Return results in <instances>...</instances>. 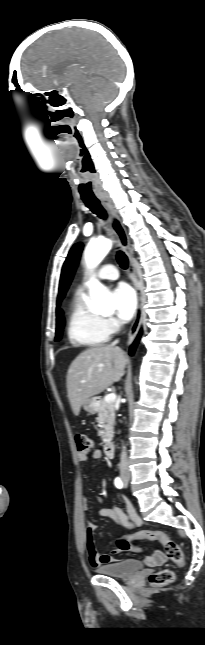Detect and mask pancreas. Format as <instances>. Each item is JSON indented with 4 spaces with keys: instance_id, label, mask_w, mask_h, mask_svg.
Here are the masks:
<instances>
[{
    "instance_id": "1",
    "label": "pancreas",
    "mask_w": 205,
    "mask_h": 645,
    "mask_svg": "<svg viewBox=\"0 0 205 645\" xmlns=\"http://www.w3.org/2000/svg\"><path fill=\"white\" fill-rule=\"evenodd\" d=\"M97 422L101 424V439L103 443H107L113 438V430L115 423V404L114 402H107L105 398L101 399L98 408Z\"/></svg>"
}]
</instances>
